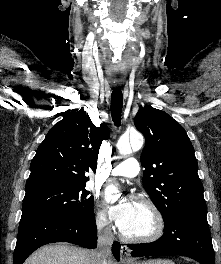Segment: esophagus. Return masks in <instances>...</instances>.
I'll return each mask as SVG.
<instances>
[{
  "instance_id": "obj_1",
  "label": "esophagus",
  "mask_w": 221,
  "mask_h": 264,
  "mask_svg": "<svg viewBox=\"0 0 221 264\" xmlns=\"http://www.w3.org/2000/svg\"><path fill=\"white\" fill-rule=\"evenodd\" d=\"M120 257L124 264H129L133 261V258L130 255V249L126 245H121Z\"/></svg>"
}]
</instances>
